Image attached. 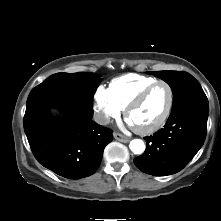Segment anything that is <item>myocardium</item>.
<instances>
[{"instance_id": "1", "label": "myocardium", "mask_w": 221, "mask_h": 221, "mask_svg": "<svg viewBox=\"0 0 221 221\" xmlns=\"http://www.w3.org/2000/svg\"><path fill=\"white\" fill-rule=\"evenodd\" d=\"M158 85H165L169 91V102H168L166 111L163 114V116L161 117V119L157 123H155L154 125H152L150 127L137 128V127L131 125L133 130L140 135L153 134V133L159 131L168 121V119L172 113V110H173L174 99H175L174 90H173L172 86L164 80H157V81L153 82L152 84L148 85L146 88H144L133 100H131L129 102V104L126 106V108L124 110L125 119L127 120V122L130 123L129 117H130L131 112L134 109H136L139 105H141L143 103V101L147 98V96L150 94V92Z\"/></svg>"}]
</instances>
